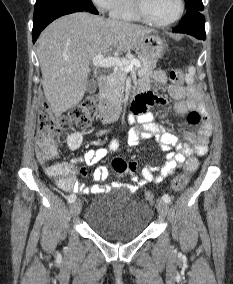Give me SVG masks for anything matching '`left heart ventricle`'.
<instances>
[{"label": "left heart ventricle", "mask_w": 233, "mask_h": 284, "mask_svg": "<svg viewBox=\"0 0 233 284\" xmlns=\"http://www.w3.org/2000/svg\"><path fill=\"white\" fill-rule=\"evenodd\" d=\"M145 5L149 14L161 22L171 20L179 10L178 0H145Z\"/></svg>", "instance_id": "left-heart-ventricle-1"}]
</instances>
